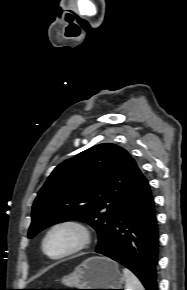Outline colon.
<instances>
[{"instance_id": "obj_1", "label": "colon", "mask_w": 187, "mask_h": 290, "mask_svg": "<svg viewBox=\"0 0 187 290\" xmlns=\"http://www.w3.org/2000/svg\"><path fill=\"white\" fill-rule=\"evenodd\" d=\"M29 290H75L70 288H55V289H29Z\"/></svg>"}]
</instances>
